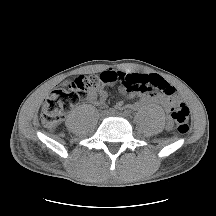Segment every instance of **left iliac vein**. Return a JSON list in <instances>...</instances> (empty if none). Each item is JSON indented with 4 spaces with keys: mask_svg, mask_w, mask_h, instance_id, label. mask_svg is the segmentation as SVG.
Instances as JSON below:
<instances>
[{
    "mask_svg": "<svg viewBox=\"0 0 216 216\" xmlns=\"http://www.w3.org/2000/svg\"><path fill=\"white\" fill-rule=\"evenodd\" d=\"M115 116H122V114L121 113H116Z\"/></svg>",
    "mask_w": 216,
    "mask_h": 216,
    "instance_id": "4c4485c4",
    "label": "left iliac vein"
}]
</instances>
